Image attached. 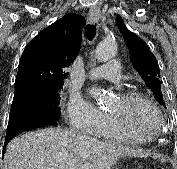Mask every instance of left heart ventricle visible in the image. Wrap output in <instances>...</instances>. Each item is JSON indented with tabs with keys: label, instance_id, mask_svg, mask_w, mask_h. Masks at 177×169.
Segmentation results:
<instances>
[{
	"label": "left heart ventricle",
	"instance_id": "left-heart-ventricle-1",
	"mask_svg": "<svg viewBox=\"0 0 177 169\" xmlns=\"http://www.w3.org/2000/svg\"><path fill=\"white\" fill-rule=\"evenodd\" d=\"M108 112L121 115L125 119L128 133L135 136L150 134L160 125L157 115L148 106L142 103L125 104L120 96L116 98Z\"/></svg>",
	"mask_w": 177,
	"mask_h": 169
}]
</instances>
